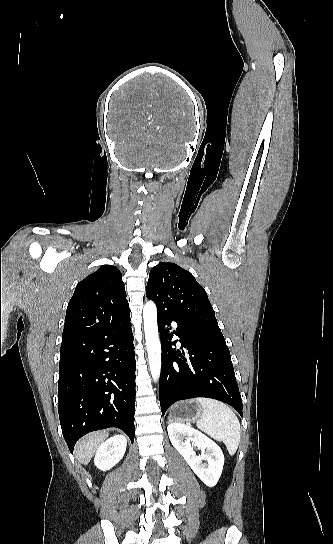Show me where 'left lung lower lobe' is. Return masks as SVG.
<instances>
[{
  "label": "left lung lower lobe",
  "mask_w": 333,
  "mask_h": 544,
  "mask_svg": "<svg viewBox=\"0 0 333 544\" xmlns=\"http://www.w3.org/2000/svg\"><path fill=\"white\" fill-rule=\"evenodd\" d=\"M161 336L162 366L159 399L162 415L176 401L207 397L233 406L242 416V401L231 355L221 332L183 322L157 309ZM176 322V331H171ZM180 338L182 353L172 346L173 334Z\"/></svg>",
  "instance_id": "left-lung-lower-lobe-1"
}]
</instances>
